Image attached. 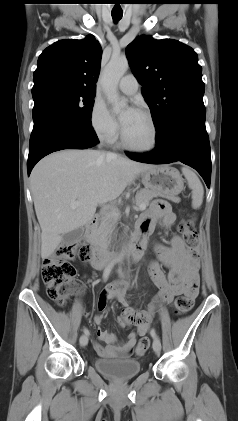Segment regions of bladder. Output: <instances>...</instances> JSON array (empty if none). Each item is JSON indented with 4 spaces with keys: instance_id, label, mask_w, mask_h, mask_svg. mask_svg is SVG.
I'll list each match as a JSON object with an SVG mask.
<instances>
[{
    "instance_id": "31cf9c89",
    "label": "bladder",
    "mask_w": 238,
    "mask_h": 421,
    "mask_svg": "<svg viewBox=\"0 0 238 421\" xmlns=\"http://www.w3.org/2000/svg\"><path fill=\"white\" fill-rule=\"evenodd\" d=\"M95 368L103 375L125 381L134 378L141 371V363L133 359L101 357L94 361Z\"/></svg>"
}]
</instances>
